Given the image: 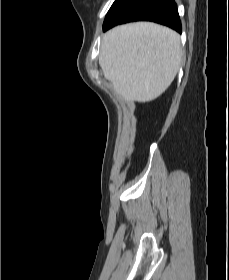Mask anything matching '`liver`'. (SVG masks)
Wrapping results in <instances>:
<instances>
[{"label": "liver", "instance_id": "1", "mask_svg": "<svg viewBox=\"0 0 229 280\" xmlns=\"http://www.w3.org/2000/svg\"><path fill=\"white\" fill-rule=\"evenodd\" d=\"M180 62L179 34L155 23L117 26L102 39L103 75L126 102L145 103L159 97L174 80Z\"/></svg>", "mask_w": 229, "mask_h": 280}]
</instances>
